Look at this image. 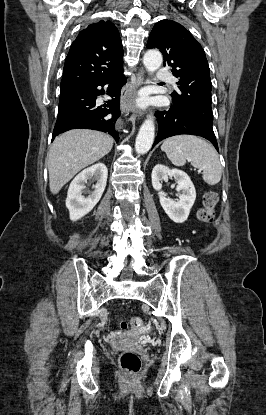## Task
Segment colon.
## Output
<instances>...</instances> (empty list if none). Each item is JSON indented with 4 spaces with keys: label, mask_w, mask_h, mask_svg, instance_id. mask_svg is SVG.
Segmentation results:
<instances>
[{
    "label": "colon",
    "mask_w": 266,
    "mask_h": 415,
    "mask_svg": "<svg viewBox=\"0 0 266 415\" xmlns=\"http://www.w3.org/2000/svg\"><path fill=\"white\" fill-rule=\"evenodd\" d=\"M218 197L215 192L209 191L204 195L203 208L199 211V219L204 223H210L214 218V208ZM124 330L139 331L142 328V320L139 317H132L128 321L120 323ZM119 363L123 371L129 375H136L141 369V359L139 355L131 350L123 351L119 356Z\"/></svg>",
    "instance_id": "colon-1"
}]
</instances>
